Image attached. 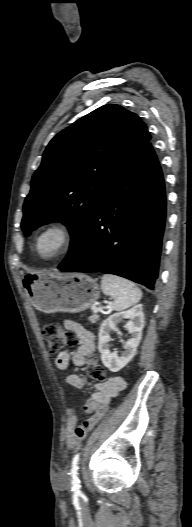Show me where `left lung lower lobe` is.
Wrapping results in <instances>:
<instances>
[{"label": "left lung lower lobe", "instance_id": "1", "mask_svg": "<svg viewBox=\"0 0 192 527\" xmlns=\"http://www.w3.org/2000/svg\"><path fill=\"white\" fill-rule=\"evenodd\" d=\"M165 219L164 178L149 142L111 184L58 269L115 274L154 289Z\"/></svg>", "mask_w": 192, "mask_h": 527}]
</instances>
